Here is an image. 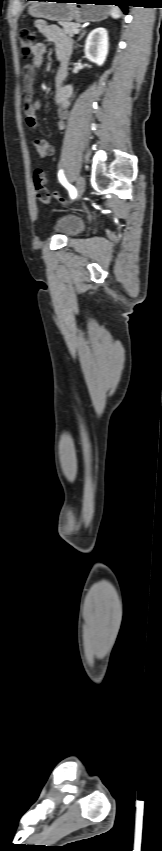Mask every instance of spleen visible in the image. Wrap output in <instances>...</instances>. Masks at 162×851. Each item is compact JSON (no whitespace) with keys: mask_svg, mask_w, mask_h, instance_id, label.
<instances>
[{"mask_svg":"<svg viewBox=\"0 0 162 851\" xmlns=\"http://www.w3.org/2000/svg\"><path fill=\"white\" fill-rule=\"evenodd\" d=\"M110 14L114 19L120 18V10L115 6H111V13Z\"/></svg>","mask_w":162,"mask_h":851,"instance_id":"obj_1","label":"spleen"}]
</instances>
